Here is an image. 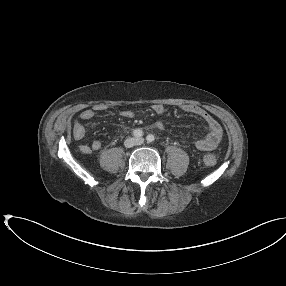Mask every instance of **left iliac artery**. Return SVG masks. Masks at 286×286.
I'll return each instance as SVG.
<instances>
[{"instance_id":"left-iliac-artery-1","label":"left iliac artery","mask_w":286,"mask_h":286,"mask_svg":"<svg viewBox=\"0 0 286 286\" xmlns=\"http://www.w3.org/2000/svg\"><path fill=\"white\" fill-rule=\"evenodd\" d=\"M146 140H147L149 143H152V142H154L155 137H154V135L149 134V135L146 137Z\"/></svg>"}]
</instances>
